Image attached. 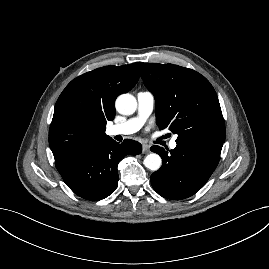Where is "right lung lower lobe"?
I'll return each instance as SVG.
<instances>
[{
    "label": "right lung lower lobe",
    "instance_id": "right-lung-lower-lobe-1",
    "mask_svg": "<svg viewBox=\"0 0 269 269\" xmlns=\"http://www.w3.org/2000/svg\"><path fill=\"white\" fill-rule=\"evenodd\" d=\"M142 152L139 142L126 139L119 144L112 138L93 143L55 161L67 186L79 197L98 201L108 197L118 185L117 165L125 155Z\"/></svg>",
    "mask_w": 269,
    "mask_h": 269
}]
</instances>
